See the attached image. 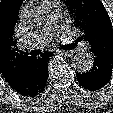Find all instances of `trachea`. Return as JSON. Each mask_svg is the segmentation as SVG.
<instances>
[{
    "label": "trachea",
    "mask_w": 113,
    "mask_h": 113,
    "mask_svg": "<svg viewBox=\"0 0 113 113\" xmlns=\"http://www.w3.org/2000/svg\"><path fill=\"white\" fill-rule=\"evenodd\" d=\"M75 47V44H71V45H65V46H62L61 48L62 49H66V50H71ZM39 54V50H32L30 52V55H33V56H36Z\"/></svg>",
    "instance_id": "obj_1"
}]
</instances>
